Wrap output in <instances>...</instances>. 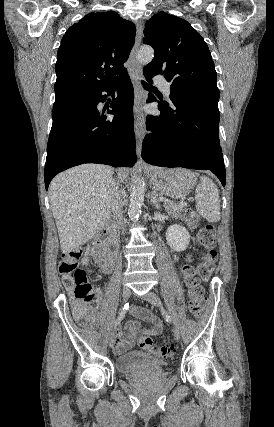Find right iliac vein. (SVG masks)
<instances>
[{
	"label": "right iliac vein",
	"mask_w": 274,
	"mask_h": 427,
	"mask_svg": "<svg viewBox=\"0 0 274 427\" xmlns=\"http://www.w3.org/2000/svg\"><path fill=\"white\" fill-rule=\"evenodd\" d=\"M130 295H131L130 289L128 287H123L122 288V297H123V301L124 302H126L129 299ZM108 340H109V347L110 348H114V344H115V332H112L109 335Z\"/></svg>",
	"instance_id": "1"
}]
</instances>
